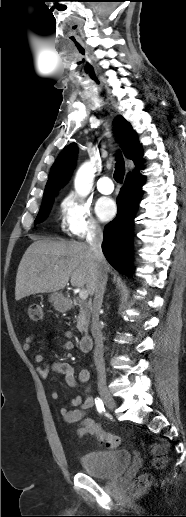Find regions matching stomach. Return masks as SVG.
I'll return each mask as SVG.
<instances>
[{"mask_svg":"<svg viewBox=\"0 0 186 517\" xmlns=\"http://www.w3.org/2000/svg\"><path fill=\"white\" fill-rule=\"evenodd\" d=\"M49 301L53 303L54 307L59 311L65 310L67 305L66 299L61 292H53L49 297Z\"/></svg>","mask_w":186,"mask_h":517,"instance_id":"1","label":"stomach"}]
</instances>
